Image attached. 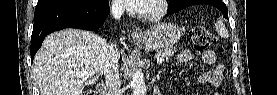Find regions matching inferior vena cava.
Here are the masks:
<instances>
[{"label": "inferior vena cava", "instance_id": "1", "mask_svg": "<svg viewBox=\"0 0 277 95\" xmlns=\"http://www.w3.org/2000/svg\"><path fill=\"white\" fill-rule=\"evenodd\" d=\"M111 14L114 19H120L123 14V7L118 4H113ZM118 59L119 52L116 45L113 43L106 44L104 74L108 95H122L120 90Z\"/></svg>", "mask_w": 277, "mask_h": 95}]
</instances>
